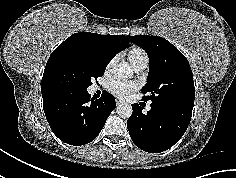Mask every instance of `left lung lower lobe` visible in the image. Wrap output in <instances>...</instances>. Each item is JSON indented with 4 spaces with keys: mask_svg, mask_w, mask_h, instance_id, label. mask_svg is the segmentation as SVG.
Wrapping results in <instances>:
<instances>
[{
    "mask_svg": "<svg viewBox=\"0 0 236 178\" xmlns=\"http://www.w3.org/2000/svg\"><path fill=\"white\" fill-rule=\"evenodd\" d=\"M151 110L132 104L133 113L127 121L132 141L149 153H159L171 148L185 133L192 116V109L152 103Z\"/></svg>",
    "mask_w": 236,
    "mask_h": 178,
    "instance_id": "0a47b994",
    "label": "left lung lower lobe"
}]
</instances>
